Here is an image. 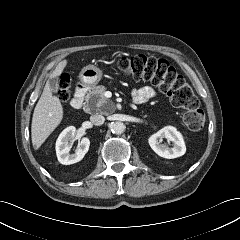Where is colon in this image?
<instances>
[{"mask_svg":"<svg viewBox=\"0 0 240 240\" xmlns=\"http://www.w3.org/2000/svg\"><path fill=\"white\" fill-rule=\"evenodd\" d=\"M121 70L136 81L149 82L166 94L172 104L185 110L183 121L193 131L203 129L205 115L199 107V101L190 85L185 79L166 61L145 55H135L123 58L120 61ZM70 78L64 74L61 76L58 89V98L61 102H67Z\"/></svg>","mask_w":240,"mask_h":240,"instance_id":"1","label":"colon"}]
</instances>
